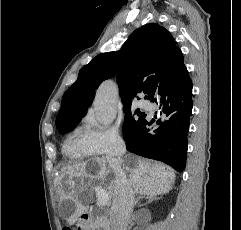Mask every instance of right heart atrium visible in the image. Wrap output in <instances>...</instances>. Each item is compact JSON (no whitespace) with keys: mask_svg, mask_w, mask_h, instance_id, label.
Wrapping results in <instances>:
<instances>
[{"mask_svg":"<svg viewBox=\"0 0 241 230\" xmlns=\"http://www.w3.org/2000/svg\"><path fill=\"white\" fill-rule=\"evenodd\" d=\"M85 143L94 155L114 156L125 149V141L116 127L91 128L84 134Z\"/></svg>","mask_w":241,"mask_h":230,"instance_id":"right-heart-atrium-1","label":"right heart atrium"}]
</instances>
